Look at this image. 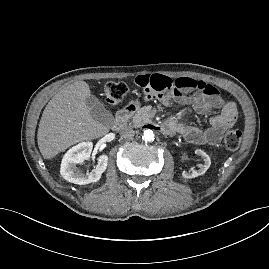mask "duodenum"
Wrapping results in <instances>:
<instances>
[{"label": "duodenum", "instance_id": "410a0bca", "mask_svg": "<svg viewBox=\"0 0 269 269\" xmlns=\"http://www.w3.org/2000/svg\"><path fill=\"white\" fill-rule=\"evenodd\" d=\"M136 110V106L134 104H127L126 106L119 109L115 114V120L112 126V129L117 131L124 127L129 116ZM163 132H170L172 127L170 124L165 123L160 128Z\"/></svg>", "mask_w": 269, "mask_h": 269}]
</instances>
